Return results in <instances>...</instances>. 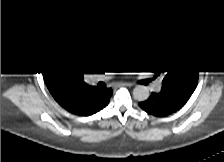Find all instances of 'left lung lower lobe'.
Listing matches in <instances>:
<instances>
[{"label":"left lung lower lobe","mask_w":224,"mask_h":162,"mask_svg":"<svg viewBox=\"0 0 224 162\" xmlns=\"http://www.w3.org/2000/svg\"><path fill=\"white\" fill-rule=\"evenodd\" d=\"M190 96L185 92L161 89V92L152 93L146 101L140 102L139 106L149 114L163 117L179 110Z\"/></svg>","instance_id":"obj_1"}]
</instances>
